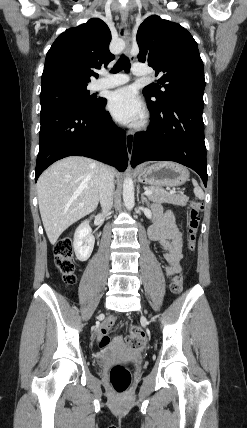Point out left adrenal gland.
I'll list each match as a JSON object with an SVG mask.
<instances>
[{
    "label": "left adrenal gland",
    "mask_w": 247,
    "mask_h": 428,
    "mask_svg": "<svg viewBox=\"0 0 247 428\" xmlns=\"http://www.w3.org/2000/svg\"><path fill=\"white\" fill-rule=\"evenodd\" d=\"M141 201L142 203H146L148 206L150 204L149 200L145 197L144 193L141 194Z\"/></svg>",
    "instance_id": "1"
}]
</instances>
